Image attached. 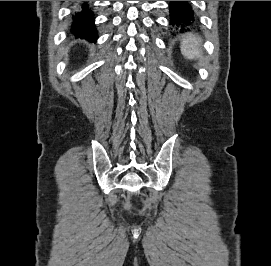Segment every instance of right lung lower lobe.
I'll return each mask as SVG.
<instances>
[{"label": "right lung lower lobe", "instance_id": "1", "mask_svg": "<svg viewBox=\"0 0 271 266\" xmlns=\"http://www.w3.org/2000/svg\"><path fill=\"white\" fill-rule=\"evenodd\" d=\"M80 7V11L75 13V15L72 17L71 33H73L76 37L95 41L98 38V35L94 25V14L89 9L87 1L81 3Z\"/></svg>", "mask_w": 271, "mask_h": 266}]
</instances>
